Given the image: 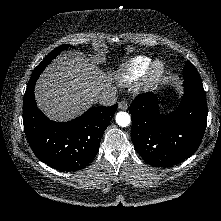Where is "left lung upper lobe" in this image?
<instances>
[{
    "mask_svg": "<svg viewBox=\"0 0 221 221\" xmlns=\"http://www.w3.org/2000/svg\"><path fill=\"white\" fill-rule=\"evenodd\" d=\"M184 86H190L198 89H203L201 78L197 72V69L190 61H187L183 71Z\"/></svg>",
    "mask_w": 221,
    "mask_h": 221,
    "instance_id": "obj_1",
    "label": "left lung upper lobe"
}]
</instances>
